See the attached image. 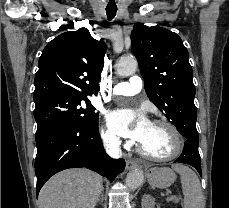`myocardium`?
<instances>
[{
    "mask_svg": "<svg viewBox=\"0 0 229 208\" xmlns=\"http://www.w3.org/2000/svg\"><path fill=\"white\" fill-rule=\"evenodd\" d=\"M152 124L155 125H162L170 128L171 130L168 132L170 134V142L172 147H179L176 152L173 154L167 155L166 157H152L151 152H147V149L144 148V145L140 143L139 147L144 156H146L148 159L156 162H168L172 161L176 158H178L182 152L184 151L186 147V138L183 132L173 123L167 121V120H162V119H156L152 121Z\"/></svg>",
    "mask_w": 229,
    "mask_h": 208,
    "instance_id": "myocardium-1",
    "label": "myocardium"
}]
</instances>
